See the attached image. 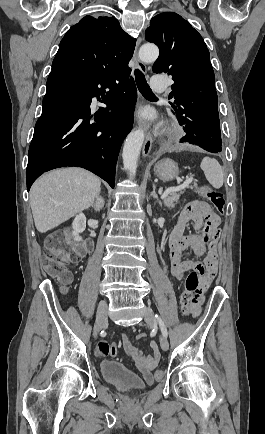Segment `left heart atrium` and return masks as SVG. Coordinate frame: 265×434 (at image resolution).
I'll return each mask as SVG.
<instances>
[{
	"mask_svg": "<svg viewBox=\"0 0 265 434\" xmlns=\"http://www.w3.org/2000/svg\"><path fill=\"white\" fill-rule=\"evenodd\" d=\"M139 115L143 118H148L150 117V111L149 110H142Z\"/></svg>",
	"mask_w": 265,
	"mask_h": 434,
	"instance_id": "1",
	"label": "left heart atrium"
}]
</instances>
